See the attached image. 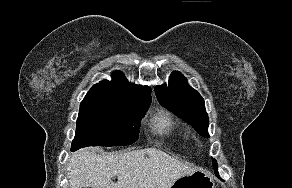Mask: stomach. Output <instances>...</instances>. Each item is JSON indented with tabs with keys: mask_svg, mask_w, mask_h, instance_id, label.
Returning <instances> with one entry per match:
<instances>
[{
	"mask_svg": "<svg viewBox=\"0 0 292 188\" xmlns=\"http://www.w3.org/2000/svg\"><path fill=\"white\" fill-rule=\"evenodd\" d=\"M170 188H215V182L210 173L196 170L178 178Z\"/></svg>",
	"mask_w": 292,
	"mask_h": 188,
	"instance_id": "0dacf381",
	"label": "stomach"
}]
</instances>
